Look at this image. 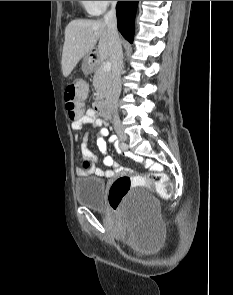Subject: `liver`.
<instances>
[{
    "mask_svg": "<svg viewBox=\"0 0 233 295\" xmlns=\"http://www.w3.org/2000/svg\"><path fill=\"white\" fill-rule=\"evenodd\" d=\"M98 43L97 58L109 57V31L103 20H72L65 29L62 51V73L68 77L77 63Z\"/></svg>",
    "mask_w": 233,
    "mask_h": 295,
    "instance_id": "6515ba94",
    "label": "liver"
}]
</instances>
